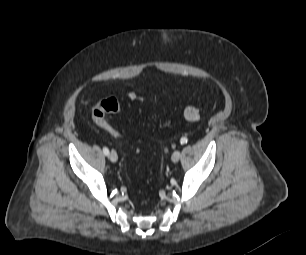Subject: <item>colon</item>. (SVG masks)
<instances>
[{
	"label": "colon",
	"instance_id": "5ec220e1",
	"mask_svg": "<svg viewBox=\"0 0 306 255\" xmlns=\"http://www.w3.org/2000/svg\"><path fill=\"white\" fill-rule=\"evenodd\" d=\"M123 103L115 97H108L100 100L92 109V120L101 129L107 131L114 137H122L120 132L110 125L105 119L106 114L119 113L123 109ZM183 116L189 122H199L201 115L199 110L194 106H186L183 109Z\"/></svg>",
	"mask_w": 306,
	"mask_h": 255
}]
</instances>
